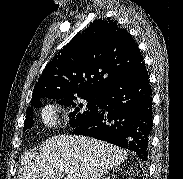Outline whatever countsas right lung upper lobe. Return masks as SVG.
<instances>
[{"mask_svg": "<svg viewBox=\"0 0 183 179\" xmlns=\"http://www.w3.org/2000/svg\"><path fill=\"white\" fill-rule=\"evenodd\" d=\"M143 64L136 41L125 29L110 20H95L47 64L34 87L31 105L42 97L100 94Z\"/></svg>", "mask_w": 183, "mask_h": 179, "instance_id": "cb5924a9", "label": "right lung upper lobe"}]
</instances>
